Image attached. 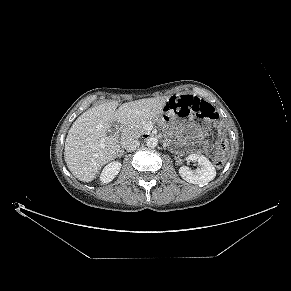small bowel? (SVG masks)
Here are the masks:
<instances>
[{"instance_id": "small-bowel-1", "label": "small bowel", "mask_w": 291, "mask_h": 291, "mask_svg": "<svg viewBox=\"0 0 291 291\" xmlns=\"http://www.w3.org/2000/svg\"><path fill=\"white\" fill-rule=\"evenodd\" d=\"M182 96L194 97V96H192V95H182ZM201 147H202V149L205 150V149H207V144H206L205 142H203Z\"/></svg>"}]
</instances>
